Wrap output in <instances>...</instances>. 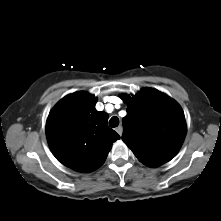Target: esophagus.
<instances>
[{
    "label": "esophagus",
    "mask_w": 221,
    "mask_h": 221,
    "mask_svg": "<svg viewBox=\"0 0 221 221\" xmlns=\"http://www.w3.org/2000/svg\"><path fill=\"white\" fill-rule=\"evenodd\" d=\"M116 132L121 136L122 135V132H123V127L122 126H118L116 128Z\"/></svg>",
    "instance_id": "obj_1"
}]
</instances>
